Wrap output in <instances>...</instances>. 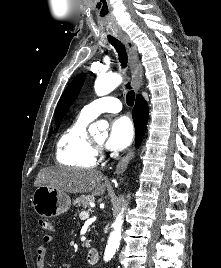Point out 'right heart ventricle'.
Returning a JSON list of instances; mask_svg holds the SVG:
<instances>
[{
    "label": "right heart ventricle",
    "instance_id": "right-heart-ventricle-1",
    "mask_svg": "<svg viewBox=\"0 0 221 268\" xmlns=\"http://www.w3.org/2000/svg\"><path fill=\"white\" fill-rule=\"evenodd\" d=\"M91 121L80 113L62 132L55 152L59 164L75 168H92L96 165L98 154L87 132V126Z\"/></svg>",
    "mask_w": 221,
    "mask_h": 268
}]
</instances>
